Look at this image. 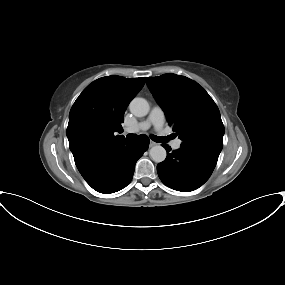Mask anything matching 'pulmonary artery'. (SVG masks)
I'll list each match as a JSON object with an SVG mask.
<instances>
[{
	"label": "pulmonary artery",
	"mask_w": 285,
	"mask_h": 285,
	"mask_svg": "<svg viewBox=\"0 0 285 285\" xmlns=\"http://www.w3.org/2000/svg\"><path fill=\"white\" fill-rule=\"evenodd\" d=\"M164 121H165V117H164L163 110L160 107L155 106L152 108L150 114L144 121L138 123L135 127L127 128L126 132L135 133L138 131L147 130L151 126H154L156 131H158L159 133H163L164 132V128H163ZM181 143L182 141L180 139H175L171 142V146L174 149H179L181 146Z\"/></svg>",
	"instance_id": "pulmonary-artery-1"
}]
</instances>
